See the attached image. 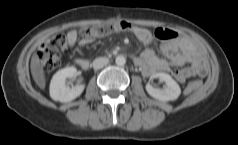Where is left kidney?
I'll use <instances>...</instances> for the list:
<instances>
[{
	"mask_svg": "<svg viewBox=\"0 0 238 145\" xmlns=\"http://www.w3.org/2000/svg\"><path fill=\"white\" fill-rule=\"evenodd\" d=\"M154 78H158L161 82H165L166 87L164 89L154 88L148 83L145 88L150 96L160 101H173L179 97L181 88L169 74L163 72L155 73L150 79Z\"/></svg>",
	"mask_w": 238,
	"mask_h": 145,
	"instance_id": "5707ae66",
	"label": "left kidney"
}]
</instances>
